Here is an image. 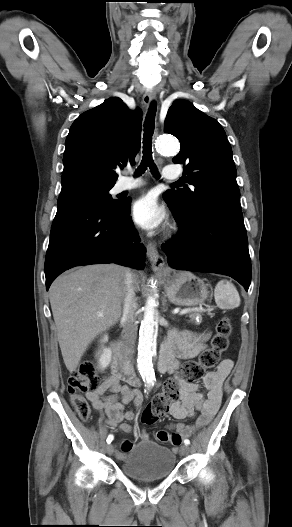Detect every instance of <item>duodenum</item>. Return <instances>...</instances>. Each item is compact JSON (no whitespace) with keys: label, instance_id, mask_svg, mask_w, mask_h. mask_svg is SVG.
I'll list each match as a JSON object with an SVG mask.
<instances>
[{"label":"duodenum","instance_id":"410a0bca","mask_svg":"<svg viewBox=\"0 0 292 527\" xmlns=\"http://www.w3.org/2000/svg\"><path fill=\"white\" fill-rule=\"evenodd\" d=\"M111 350L113 355L112 368L115 374L120 376L123 381L130 385L139 384V380L133 373V370L124 355L120 345L117 342L111 344ZM170 356L167 349L163 346L160 352L159 358V370L162 372L167 371L169 365Z\"/></svg>","mask_w":292,"mask_h":527}]
</instances>
